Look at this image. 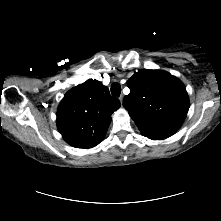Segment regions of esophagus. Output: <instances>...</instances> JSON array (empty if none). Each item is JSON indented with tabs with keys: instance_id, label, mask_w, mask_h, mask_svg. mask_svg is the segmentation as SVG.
Here are the masks:
<instances>
[{
	"instance_id": "34e87169",
	"label": "esophagus",
	"mask_w": 221,
	"mask_h": 221,
	"mask_svg": "<svg viewBox=\"0 0 221 221\" xmlns=\"http://www.w3.org/2000/svg\"><path fill=\"white\" fill-rule=\"evenodd\" d=\"M119 100H120V102L122 104V101H123V95L122 94L120 95Z\"/></svg>"
}]
</instances>
